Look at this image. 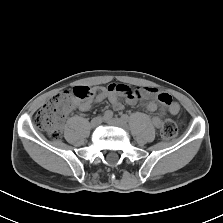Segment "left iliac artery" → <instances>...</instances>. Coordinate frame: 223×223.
<instances>
[{
	"label": "left iliac artery",
	"instance_id": "obj_1",
	"mask_svg": "<svg viewBox=\"0 0 223 223\" xmlns=\"http://www.w3.org/2000/svg\"><path fill=\"white\" fill-rule=\"evenodd\" d=\"M121 118L124 119L126 122L128 121V116L127 115H122Z\"/></svg>",
	"mask_w": 223,
	"mask_h": 223
}]
</instances>
